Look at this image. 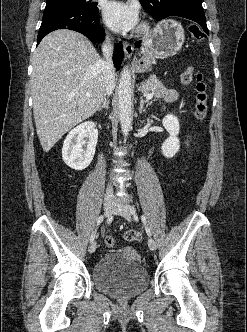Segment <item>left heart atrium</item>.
I'll use <instances>...</instances> for the list:
<instances>
[{
  "label": "left heart atrium",
  "instance_id": "1",
  "mask_svg": "<svg viewBox=\"0 0 247 332\" xmlns=\"http://www.w3.org/2000/svg\"><path fill=\"white\" fill-rule=\"evenodd\" d=\"M103 15L107 25L115 31H130L139 21L137 6L125 1L108 2Z\"/></svg>",
  "mask_w": 247,
  "mask_h": 332
}]
</instances>
